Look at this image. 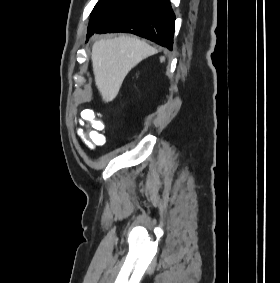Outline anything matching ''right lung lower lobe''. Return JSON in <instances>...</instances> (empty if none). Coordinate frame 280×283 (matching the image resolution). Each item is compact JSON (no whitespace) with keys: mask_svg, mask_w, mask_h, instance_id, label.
<instances>
[{"mask_svg":"<svg viewBox=\"0 0 280 283\" xmlns=\"http://www.w3.org/2000/svg\"><path fill=\"white\" fill-rule=\"evenodd\" d=\"M175 14L169 0H139L105 21L94 33L127 32L172 50Z\"/></svg>","mask_w":280,"mask_h":283,"instance_id":"right-lung-lower-lobe-1","label":"right lung lower lobe"}]
</instances>
